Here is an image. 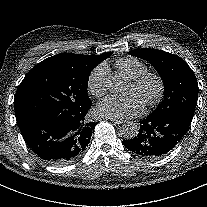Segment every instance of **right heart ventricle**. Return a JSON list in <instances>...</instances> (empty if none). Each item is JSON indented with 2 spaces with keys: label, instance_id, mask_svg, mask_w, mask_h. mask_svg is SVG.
I'll return each mask as SVG.
<instances>
[{
  "label": "right heart ventricle",
  "instance_id": "e07e8e85",
  "mask_svg": "<svg viewBox=\"0 0 207 207\" xmlns=\"http://www.w3.org/2000/svg\"><path fill=\"white\" fill-rule=\"evenodd\" d=\"M116 67L130 79H137L147 72V66L139 59L126 57L116 62Z\"/></svg>",
  "mask_w": 207,
  "mask_h": 207
}]
</instances>
